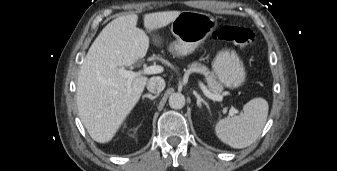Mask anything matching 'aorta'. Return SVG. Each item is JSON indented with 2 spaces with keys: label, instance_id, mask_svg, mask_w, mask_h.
I'll use <instances>...</instances> for the list:
<instances>
[{
  "label": "aorta",
  "instance_id": "1",
  "mask_svg": "<svg viewBox=\"0 0 337 171\" xmlns=\"http://www.w3.org/2000/svg\"><path fill=\"white\" fill-rule=\"evenodd\" d=\"M169 105L173 109H181L185 105V97L182 93H173L169 97Z\"/></svg>",
  "mask_w": 337,
  "mask_h": 171
}]
</instances>
